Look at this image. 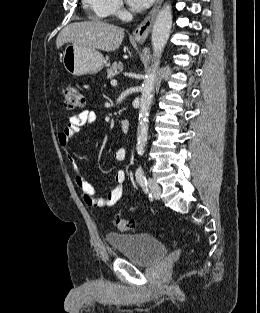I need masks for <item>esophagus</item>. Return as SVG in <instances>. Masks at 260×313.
<instances>
[{
	"mask_svg": "<svg viewBox=\"0 0 260 313\" xmlns=\"http://www.w3.org/2000/svg\"><path fill=\"white\" fill-rule=\"evenodd\" d=\"M163 0H157L152 10L149 12L143 22L133 31V37L136 41L144 42L151 32L156 15L162 5Z\"/></svg>",
	"mask_w": 260,
	"mask_h": 313,
	"instance_id": "1",
	"label": "esophagus"
}]
</instances>
